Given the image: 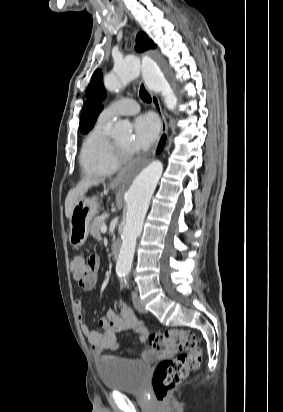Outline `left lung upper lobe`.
Masks as SVG:
<instances>
[{
	"instance_id": "obj_1",
	"label": "left lung upper lobe",
	"mask_w": 283,
	"mask_h": 412,
	"mask_svg": "<svg viewBox=\"0 0 283 412\" xmlns=\"http://www.w3.org/2000/svg\"><path fill=\"white\" fill-rule=\"evenodd\" d=\"M156 45L152 40L148 39L147 35L140 32L136 39V51H145L155 48ZM106 96L105 89L102 83V74L99 70L95 71L91 82L86 89V97L89 99L83 106L80 120V131L88 132L94 126L95 119L102 110V101Z\"/></svg>"
}]
</instances>
